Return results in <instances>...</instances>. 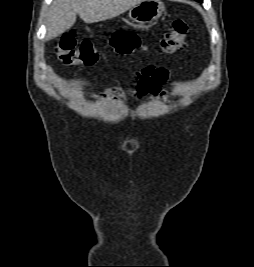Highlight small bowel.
<instances>
[{
    "mask_svg": "<svg viewBox=\"0 0 254 267\" xmlns=\"http://www.w3.org/2000/svg\"><path fill=\"white\" fill-rule=\"evenodd\" d=\"M170 72L166 68L147 66L136 73L132 78V86L126 90L117 87H108L103 96L116 101H127L128 99H140L148 94L153 99H163L166 93L163 85L169 80Z\"/></svg>",
    "mask_w": 254,
    "mask_h": 267,
    "instance_id": "1",
    "label": "small bowel"
}]
</instances>
